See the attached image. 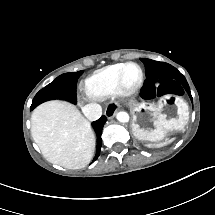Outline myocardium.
Masks as SVG:
<instances>
[{
	"mask_svg": "<svg viewBox=\"0 0 215 215\" xmlns=\"http://www.w3.org/2000/svg\"><path fill=\"white\" fill-rule=\"evenodd\" d=\"M128 66H132L137 70V78L129 87L126 88V86L121 85V82L123 80L122 77H124L123 76L125 70L124 68ZM116 79L117 82L114 85L115 87L114 93H116V97L118 99H123L125 96L133 95L140 88L144 80V75L139 64H137L136 62L129 61L126 63H120L119 72Z\"/></svg>",
	"mask_w": 215,
	"mask_h": 215,
	"instance_id": "myocardium-1",
	"label": "myocardium"
}]
</instances>
